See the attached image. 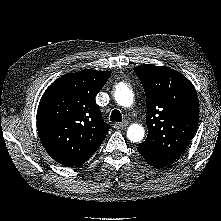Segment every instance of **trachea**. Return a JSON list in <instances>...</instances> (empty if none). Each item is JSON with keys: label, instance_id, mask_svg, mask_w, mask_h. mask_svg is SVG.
Instances as JSON below:
<instances>
[{"label": "trachea", "instance_id": "trachea-1", "mask_svg": "<svg viewBox=\"0 0 221 221\" xmlns=\"http://www.w3.org/2000/svg\"><path fill=\"white\" fill-rule=\"evenodd\" d=\"M110 121H112V122H121L122 121L121 112L117 109L113 110L111 112Z\"/></svg>", "mask_w": 221, "mask_h": 221}]
</instances>
